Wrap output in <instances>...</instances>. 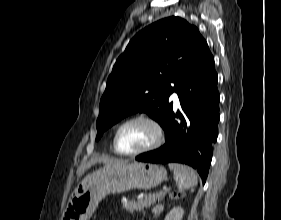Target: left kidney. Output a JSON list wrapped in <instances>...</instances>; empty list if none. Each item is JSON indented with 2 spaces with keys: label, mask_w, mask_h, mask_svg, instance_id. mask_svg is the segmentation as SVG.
I'll return each instance as SVG.
<instances>
[{
  "label": "left kidney",
  "mask_w": 281,
  "mask_h": 220,
  "mask_svg": "<svg viewBox=\"0 0 281 220\" xmlns=\"http://www.w3.org/2000/svg\"><path fill=\"white\" fill-rule=\"evenodd\" d=\"M184 210L181 207H174L165 217L164 220H182Z\"/></svg>",
  "instance_id": "obj_1"
}]
</instances>
